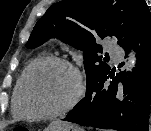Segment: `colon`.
<instances>
[{
	"instance_id": "obj_1",
	"label": "colon",
	"mask_w": 151,
	"mask_h": 131,
	"mask_svg": "<svg viewBox=\"0 0 151 131\" xmlns=\"http://www.w3.org/2000/svg\"><path fill=\"white\" fill-rule=\"evenodd\" d=\"M13 131H30V130L25 126H17L16 128H14Z\"/></svg>"
}]
</instances>
